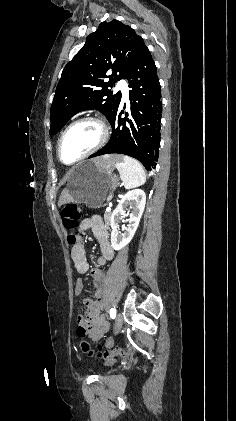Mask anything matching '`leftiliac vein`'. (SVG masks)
Returning a JSON list of instances; mask_svg holds the SVG:
<instances>
[{"instance_id":"obj_1","label":"left iliac vein","mask_w":236,"mask_h":421,"mask_svg":"<svg viewBox=\"0 0 236 421\" xmlns=\"http://www.w3.org/2000/svg\"><path fill=\"white\" fill-rule=\"evenodd\" d=\"M122 326H123V316L121 313H118L116 315V319L114 323V333L118 334L120 330L122 329ZM111 344H113L112 340L107 343V346H110Z\"/></svg>"}]
</instances>
